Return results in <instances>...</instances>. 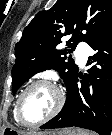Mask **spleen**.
I'll return each mask as SVG.
<instances>
[{
	"mask_svg": "<svg viewBox=\"0 0 112 135\" xmlns=\"http://www.w3.org/2000/svg\"><path fill=\"white\" fill-rule=\"evenodd\" d=\"M78 135H93V134L86 131H79Z\"/></svg>",
	"mask_w": 112,
	"mask_h": 135,
	"instance_id": "1",
	"label": "spleen"
}]
</instances>
